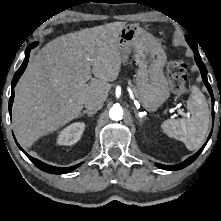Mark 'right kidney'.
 Returning a JSON list of instances; mask_svg holds the SVG:
<instances>
[{"label":"right kidney","instance_id":"obj_1","mask_svg":"<svg viewBox=\"0 0 221 221\" xmlns=\"http://www.w3.org/2000/svg\"><path fill=\"white\" fill-rule=\"evenodd\" d=\"M84 129L85 123L83 122L70 124L59 132L57 137V144L70 146L77 143L81 138Z\"/></svg>","mask_w":221,"mask_h":221}]
</instances>
